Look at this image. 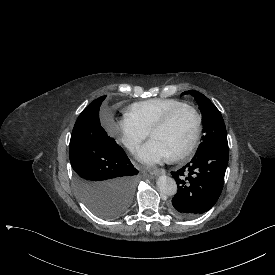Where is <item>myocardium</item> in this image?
I'll list each match as a JSON object with an SVG mask.
<instances>
[{
    "label": "myocardium",
    "mask_w": 275,
    "mask_h": 275,
    "mask_svg": "<svg viewBox=\"0 0 275 275\" xmlns=\"http://www.w3.org/2000/svg\"><path fill=\"white\" fill-rule=\"evenodd\" d=\"M189 111L194 119V131H193V135L190 139V141L188 142V144L179 152H177L175 155L171 156V160L173 161H177V160H181L183 158H185L186 156H188L193 149L195 148V146L197 145V142L200 138V134H201V117L199 115V113L197 112V110L190 105H182L179 107H176L174 109H172L171 111H169L161 120H159L150 130L149 134L150 137H152L153 133L158 131V130H162L167 128L171 122L173 121L174 117L179 114L182 111Z\"/></svg>",
    "instance_id": "myocardium-1"
}]
</instances>
